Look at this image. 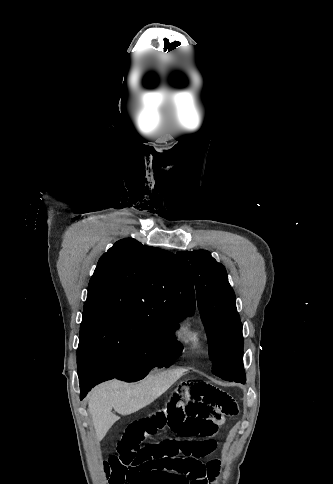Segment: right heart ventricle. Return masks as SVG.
I'll list each match as a JSON object with an SVG mask.
<instances>
[{"instance_id": "1", "label": "right heart ventricle", "mask_w": 333, "mask_h": 484, "mask_svg": "<svg viewBox=\"0 0 333 484\" xmlns=\"http://www.w3.org/2000/svg\"><path fill=\"white\" fill-rule=\"evenodd\" d=\"M181 338L192 348L198 349L201 346V334L196 326L190 322H183L180 326Z\"/></svg>"}]
</instances>
